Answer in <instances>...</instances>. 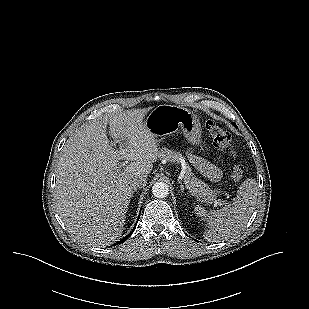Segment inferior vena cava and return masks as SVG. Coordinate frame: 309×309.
<instances>
[{"label":"inferior vena cava","mask_w":309,"mask_h":309,"mask_svg":"<svg viewBox=\"0 0 309 309\" xmlns=\"http://www.w3.org/2000/svg\"><path fill=\"white\" fill-rule=\"evenodd\" d=\"M147 183V177L143 175L133 177L129 182V187L132 190H137L144 187Z\"/></svg>","instance_id":"obj_1"}]
</instances>
